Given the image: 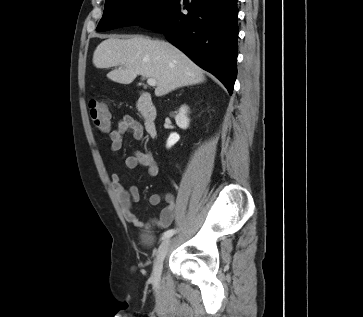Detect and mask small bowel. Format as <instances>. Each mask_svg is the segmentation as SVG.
<instances>
[{
	"label": "small bowel",
	"instance_id": "obj_1",
	"mask_svg": "<svg viewBox=\"0 0 363 317\" xmlns=\"http://www.w3.org/2000/svg\"><path fill=\"white\" fill-rule=\"evenodd\" d=\"M128 132L138 141L144 139L143 126L131 116L125 115L120 119L118 126L109 132L112 151L117 152L121 150L123 136ZM139 166L144 167L152 177L157 176L159 173L158 165L151 152L137 151L124 160V167L127 169H134ZM111 185L116 193L121 212L129 223L135 226L144 225L148 227L167 228L173 222L179 205L172 194L166 193L161 195L155 193L150 195V205L156 206L164 200L166 206L162 209L158 218L152 220L150 224H143L132 210V201H137L140 197L138 188L136 186H130L128 189L124 188L121 184L120 176L117 173L111 175Z\"/></svg>",
	"mask_w": 363,
	"mask_h": 317
}]
</instances>
